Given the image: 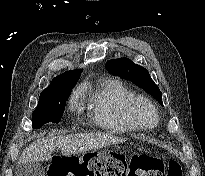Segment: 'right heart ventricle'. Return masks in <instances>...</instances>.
Segmentation results:
<instances>
[{
  "label": "right heart ventricle",
  "mask_w": 205,
  "mask_h": 176,
  "mask_svg": "<svg viewBox=\"0 0 205 176\" xmlns=\"http://www.w3.org/2000/svg\"><path fill=\"white\" fill-rule=\"evenodd\" d=\"M134 93L120 80L103 78L96 82L89 97V112L102 130L112 134H128L136 130L128 119L126 107Z\"/></svg>",
  "instance_id": "obj_1"
}]
</instances>
